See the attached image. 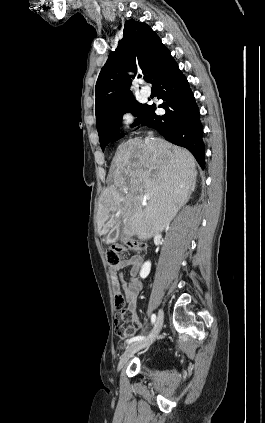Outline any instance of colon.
Returning a JSON list of instances; mask_svg holds the SVG:
<instances>
[{
  "label": "colon",
  "mask_w": 265,
  "mask_h": 423,
  "mask_svg": "<svg viewBox=\"0 0 265 423\" xmlns=\"http://www.w3.org/2000/svg\"><path fill=\"white\" fill-rule=\"evenodd\" d=\"M127 248L141 250L142 244L137 241L128 239L114 242L111 247L106 250L105 256L107 264L110 266L119 264L121 254L124 253ZM115 305L116 308L120 311V314L115 319V331L118 336L124 337L127 333L132 331V325L130 324L132 315L130 312L125 310L124 299L120 293L115 295Z\"/></svg>",
  "instance_id": "colon-1"
}]
</instances>
